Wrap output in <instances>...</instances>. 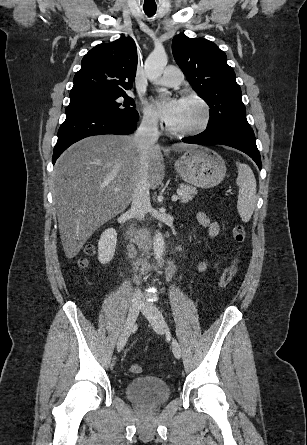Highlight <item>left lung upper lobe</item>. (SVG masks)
Wrapping results in <instances>:
<instances>
[{"mask_svg": "<svg viewBox=\"0 0 307 445\" xmlns=\"http://www.w3.org/2000/svg\"><path fill=\"white\" fill-rule=\"evenodd\" d=\"M172 52L192 88L210 107L207 129L223 125L249 127L234 70L215 43L179 34L173 39Z\"/></svg>", "mask_w": 307, "mask_h": 445, "instance_id": "5c2ea615", "label": "left lung upper lobe"}]
</instances>
